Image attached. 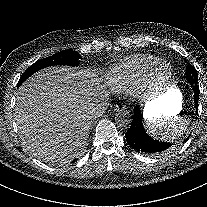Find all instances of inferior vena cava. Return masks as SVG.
Returning <instances> with one entry per match:
<instances>
[{
    "mask_svg": "<svg viewBox=\"0 0 207 207\" xmlns=\"http://www.w3.org/2000/svg\"><path fill=\"white\" fill-rule=\"evenodd\" d=\"M96 117H98V111H95V114H94L93 118H96Z\"/></svg>",
    "mask_w": 207,
    "mask_h": 207,
    "instance_id": "1",
    "label": "inferior vena cava"
}]
</instances>
